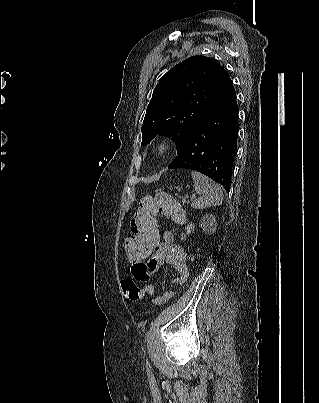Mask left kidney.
<instances>
[{"label": "left kidney", "mask_w": 319, "mask_h": 403, "mask_svg": "<svg viewBox=\"0 0 319 403\" xmlns=\"http://www.w3.org/2000/svg\"><path fill=\"white\" fill-rule=\"evenodd\" d=\"M213 222H215V218L211 215V214H206L202 219H201V228H203V231L205 232H209V229H207V224H213ZM195 226L194 224H190L188 225L185 229H186V234H190L192 232V230H194ZM186 234L182 233L181 235V240L186 238Z\"/></svg>", "instance_id": "left-kidney-1"}]
</instances>
